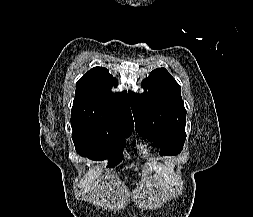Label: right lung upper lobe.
<instances>
[{
    "label": "right lung upper lobe",
    "instance_id": "right-lung-upper-lobe-1",
    "mask_svg": "<svg viewBox=\"0 0 253 217\" xmlns=\"http://www.w3.org/2000/svg\"><path fill=\"white\" fill-rule=\"evenodd\" d=\"M117 80L103 67L89 70L77 83L71 117L133 122L131 93H112Z\"/></svg>",
    "mask_w": 253,
    "mask_h": 217
}]
</instances>
